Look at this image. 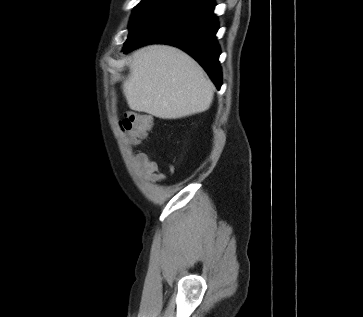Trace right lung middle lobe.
Masks as SVG:
<instances>
[{
	"label": "right lung middle lobe",
	"mask_w": 363,
	"mask_h": 317,
	"mask_svg": "<svg viewBox=\"0 0 363 317\" xmlns=\"http://www.w3.org/2000/svg\"><path fill=\"white\" fill-rule=\"evenodd\" d=\"M183 0H142L134 9L126 42L134 40L153 20Z\"/></svg>",
	"instance_id": "dd1d6c3e"
}]
</instances>
